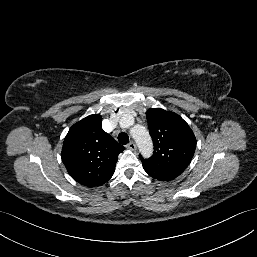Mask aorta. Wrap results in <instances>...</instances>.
I'll return each instance as SVG.
<instances>
[{
  "mask_svg": "<svg viewBox=\"0 0 257 257\" xmlns=\"http://www.w3.org/2000/svg\"><path fill=\"white\" fill-rule=\"evenodd\" d=\"M132 121L133 117L131 115L125 114L120 119V125L122 127H127L128 122ZM131 135L136 141L142 155L145 157H149L153 151V143L147 129L141 125H135L131 129Z\"/></svg>",
  "mask_w": 257,
  "mask_h": 257,
  "instance_id": "1",
  "label": "aorta"
}]
</instances>
